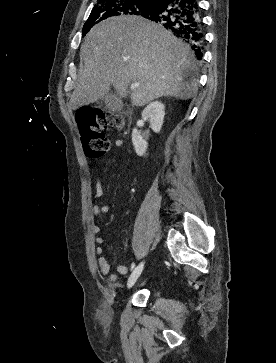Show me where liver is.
<instances>
[{"label": "liver", "mask_w": 276, "mask_h": 363, "mask_svg": "<svg viewBox=\"0 0 276 363\" xmlns=\"http://www.w3.org/2000/svg\"><path fill=\"white\" fill-rule=\"evenodd\" d=\"M84 68L70 107L106 97L113 85L134 106L163 96L193 97L198 68L190 47L162 26L139 16L108 18L95 25L80 50ZM130 84H139L130 92Z\"/></svg>", "instance_id": "1"}]
</instances>
